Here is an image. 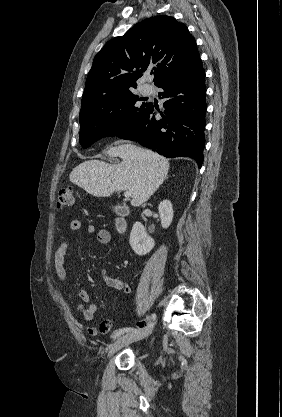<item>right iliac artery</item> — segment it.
<instances>
[{"label":"right iliac artery","instance_id":"1","mask_svg":"<svg viewBox=\"0 0 282 417\" xmlns=\"http://www.w3.org/2000/svg\"><path fill=\"white\" fill-rule=\"evenodd\" d=\"M155 318H156V315L155 314H152L151 315V319L154 320ZM138 331H139V329L131 328V327L118 329V330H116V331L113 332L112 338L113 339H116V338H118L120 335H122L124 333H129V332L136 333Z\"/></svg>","mask_w":282,"mask_h":417}]
</instances>
